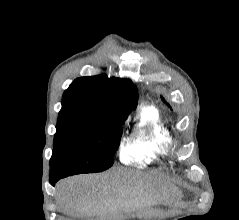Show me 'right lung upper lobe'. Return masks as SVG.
<instances>
[{"label":"right lung upper lobe","instance_id":"1","mask_svg":"<svg viewBox=\"0 0 239 220\" xmlns=\"http://www.w3.org/2000/svg\"><path fill=\"white\" fill-rule=\"evenodd\" d=\"M137 100L130 79L108 78L105 74L77 78L63 94L58 121L126 119Z\"/></svg>","mask_w":239,"mask_h":220}]
</instances>
